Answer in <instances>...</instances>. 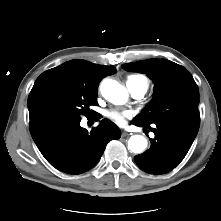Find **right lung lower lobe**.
Segmentation results:
<instances>
[{
    "instance_id": "1",
    "label": "right lung lower lobe",
    "mask_w": 221,
    "mask_h": 221,
    "mask_svg": "<svg viewBox=\"0 0 221 221\" xmlns=\"http://www.w3.org/2000/svg\"><path fill=\"white\" fill-rule=\"evenodd\" d=\"M80 121L76 116L47 115L30 122L32 138L42 155L53 167L69 174L94 167L107 143L121 136L119 128L107 119L90 132Z\"/></svg>"
}]
</instances>
